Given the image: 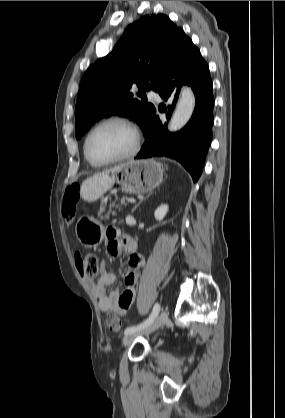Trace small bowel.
<instances>
[{
  "label": "small bowel",
  "mask_w": 285,
  "mask_h": 418,
  "mask_svg": "<svg viewBox=\"0 0 285 418\" xmlns=\"http://www.w3.org/2000/svg\"><path fill=\"white\" fill-rule=\"evenodd\" d=\"M106 248L112 256H119L123 250L130 254L122 266L125 290L108 292L107 288L116 280V275L106 270L105 261L102 260L100 276L95 281L87 280L92 291L98 299L99 310L103 313L116 312L121 316L127 315L136 297V283L140 270L145 267L143 256L136 254L135 241L126 235L118 236L115 232L107 233Z\"/></svg>",
  "instance_id": "small-bowel-1"
}]
</instances>
